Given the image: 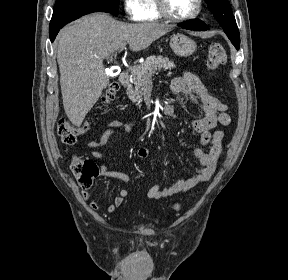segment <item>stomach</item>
Here are the masks:
<instances>
[{"label": "stomach", "instance_id": "obj_1", "mask_svg": "<svg viewBox=\"0 0 288 280\" xmlns=\"http://www.w3.org/2000/svg\"><path fill=\"white\" fill-rule=\"evenodd\" d=\"M170 47L180 57H188L196 50V42L184 34H176L170 39Z\"/></svg>", "mask_w": 288, "mask_h": 280}]
</instances>
